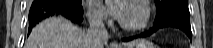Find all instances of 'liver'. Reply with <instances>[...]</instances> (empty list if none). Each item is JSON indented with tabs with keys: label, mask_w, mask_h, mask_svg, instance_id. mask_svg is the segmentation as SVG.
Returning <instances> with one entry per match:
<instances>
[{
	"label": "liver",
	"mask_w": 213,
	"mask_h": 48,
	"mask_svg": "<svg viewBox=\"0 0 213 48\" xmlns=\"http://www.w3.org/2000/svg\"><path fill=\"white\" fill-rule=\"evenodd\" d=\"M138 41L125 45L131 48ZM25 48H91L87 34L63 17H52L36 25Z\"/></svg>",
	"instance_id": "6515ba94"
}]
</instances>
